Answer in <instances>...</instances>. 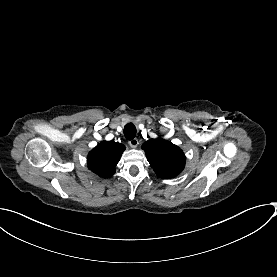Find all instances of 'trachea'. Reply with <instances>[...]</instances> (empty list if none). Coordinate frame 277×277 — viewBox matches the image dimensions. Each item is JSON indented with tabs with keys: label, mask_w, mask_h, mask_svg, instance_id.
I'll use <instances>...</instances> for the list:
<instances>
[{
	"label": "trachea",
	"mask_w": 277,
	"mask_h": 277,
	"mask_svg": "<svg viewBox=\"0 0 277 277\" xmlns=\"http://www.w3.org/2000/svg\"><path fill=\"white\" fill-rule=\"evenodd\" d=\"M124 136L127 140H132L136 137V127L133 123H128L124 127Z\"/></svg>",
	"instance_id": "1"
}]
</instances>
